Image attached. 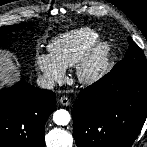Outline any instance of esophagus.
<instances>
[{
  "label": "esophagus",
  "instance_id": "34e87169",
  "mask_svg": "<svg viewBox=\"0 0 147 147\" xmlns=\"http://www.w3.org/2000/svg\"><path fill=\"white\" fill-rule=\"evenodd\" d=\"M59 102L63 105V106H68L70 104V100L63 96L59 99Z\"/></svg>",
  "mask_w": 147,
  "mask_h": 147
}]
</instances>
